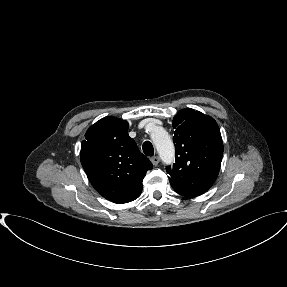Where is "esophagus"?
Wrapping results in <instances>:
<instances>
[{"instance_id": "obj_1", "label": "esophagus", "mask_w": 287, "mask_h": 287, "mask_svg": "<svg viewBox=\"0 0 287 287\" xmlns=\"http://www.w3.org/2000/svg\"><path fill=\"white\" fill-rule=\"evenodd\" d=\"M150 160L154 166H157L160 161V158L158 156H154V157H151Z\"/></svg>"}]
</instances>
